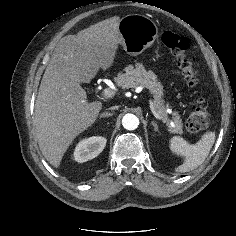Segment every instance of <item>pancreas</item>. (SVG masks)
Returning a JSON list of instances; mask_svg holds the SVG:
<instances>
[{"mask_svg":"<svg viewBox=\"0 0 236 236\" xmlns=\"http://www.w3.org/2000/svg\"><path fill=\"white\" fill-rule=\"evenodd\" d=\"M118 86L125 88H136L138 86H145L151 93L154 94V105L158 113L163 117L164 122L170 128L172 133L182 134L183 124L180 115L177 112H173V123L170 124L167 119L168 105H164L163 100V87L160 82L157 81L156 75L152 71H147L142 64H136L126 67L125 73H121L115 78Z\"/></svg>","mask_w":236,"mask_h":236,"instance_id":"obj_1","label":"pancreas"}]
</instances>
